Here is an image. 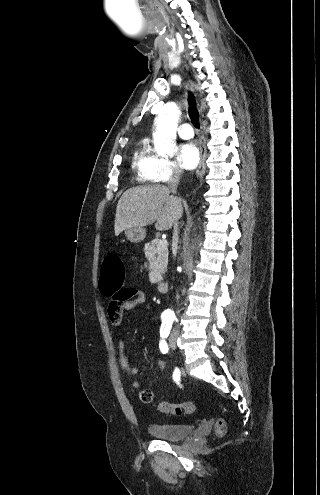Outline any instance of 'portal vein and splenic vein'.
Segmentation results:
<instances>
[{
  "label": "portal vein and splenic vein",
  "mask_w": 320,
  "mask_h": 495,
  "mask_svg": "<svg viewBox=\"0 0 320 495\" xmlns=\"http://www.w3.org/2000/svg\"><path fill=\"white\" fill-rule=\"evenodd\" d=\"M167 244V240L166 239H163L160 241V245H166Z\"/></svg>",
  "instance_id": "18ae733b"
}]
</instances>
